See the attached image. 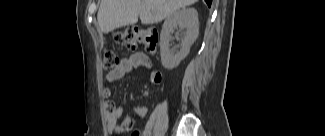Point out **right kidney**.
I'll return each mask as SVG.
<instances>
[{"label":"right kidney","mask_w":325,"mask_h":136,"mask_svg":"<svg viewBox=\"0 0 325 136\" xmlns=\"http://www.w3.org/2000/svg\"><path fill=\"white\" fill-rule=\"evenodd\" d=\"M179 27L185 30L180 50L170 49L171 34ZM199 34L198 13L194 8H182L169 15L160 34L161 61L164 68L172 70L189 54L191 45Z\"/></svg>","instance_id":"obj_1"}]
</instances>
